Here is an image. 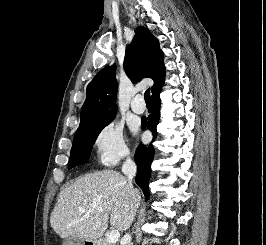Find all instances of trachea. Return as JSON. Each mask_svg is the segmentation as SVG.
Instances as JSON below:
<instances>
[{
  "mask_svg": "<svg viewBox=\"0 0 266 245\" xmlns=\"http://www.w3.org/2000/svg\"><path fill=\"white\" fill-rule=\"evenodd\" d=\"M144 99L146 103H151L150 101V89L148 88L144 94Z\"/></svg>",
  "mask_w": 266,
  "mask_h": 245,
  "instance_id": "obj_1",
  "label": "trachea"
}]
</instances>
